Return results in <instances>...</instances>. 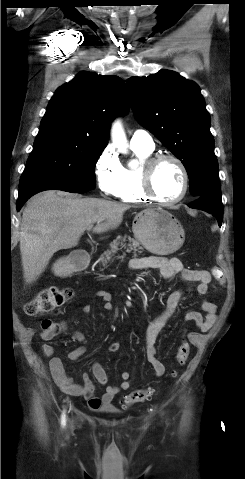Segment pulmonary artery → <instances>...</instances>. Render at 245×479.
I'll return each instance as SVG.
<instances>
[{"label": "pulmonary artery", "mask_w": 245, "mask_h": 479, "mask_svg": "<svg viewBox=\"0 0 245 479\" xmlns=\"http://www.w3.org/2000/svg\"><path fill=\"white\" fill-rule=\"evenodd\" d=\"M131 146L153 150L155 147L151 135L145 130H136L130 140Z\"/></svg>", "instance_id": "e3ab8cb5"}]
</instances>
